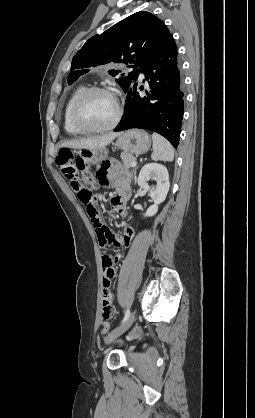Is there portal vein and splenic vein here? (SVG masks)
Segmentation results:
<instances>
[{
    "mask_svg": "<svg viewBox=\"0 0 255 418\" xmlns=\"http://www.w3.org/2000/svg\"><path fill=\"white\" fill-rule=\"evenodd\" d=\"M137 165V162L136 161H133L132 163H131V167H135Z\"/></svg>",
    "mask_w": 255,
    "mask_h": 418,
    "instance_id": "1",
    "label": "portal vein and splenic vein"
}]
</instances>
